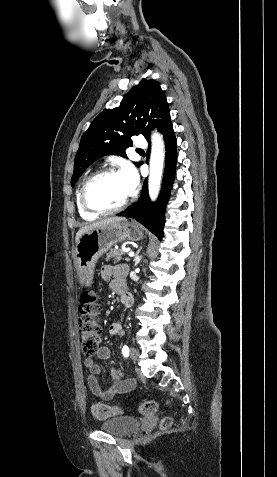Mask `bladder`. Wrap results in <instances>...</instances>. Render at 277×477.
<instances>
[{"label": "bladder", "instance_id": "bladder-1", "mask_svg": "<svg viewBox=\"0 0 277 477\" xmlns=\"http://www.w3.org/2000/svg\"><path fill=\"white\" fill-rule=\"evenodd\" d=\"M139 426V421L130 416H113L107 418L101 429L113 436L123 437L133 433Z\"/></svg>", "mask_w": 277, "mask_h": 477}]
</instances>
